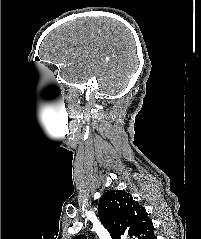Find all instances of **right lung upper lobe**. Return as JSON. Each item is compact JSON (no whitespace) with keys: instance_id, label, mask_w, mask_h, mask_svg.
Returning <instances> with one entry per match:
<instances>
[{"instance_id":"obj_1","label":"right lung upper lobe","mask_w":201,"mask_h":239,"mask_svg":"<svg viewBox=\"0 0 201 239\" xmlns=\"http://www.w3.org/2000/svg\"><path fill=\"white\" fill-rule=\"evenodd\" d=\"M98 216L112 239H153V224L142 206L122 190L108 191L99 201ZM75 239H86L78 236Z\"/></svg>"}]
</instances>
